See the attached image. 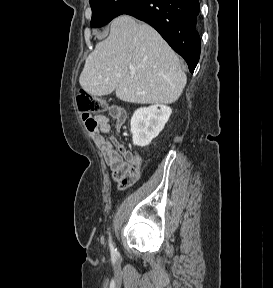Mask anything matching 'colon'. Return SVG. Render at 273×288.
Instances as JSON below:
<instances>
[{"instance_id": "1", "label": "colon", "mask_w": 273, "mask_h": 288, "mask_svg": "<svg viewBox=\"0 0 273 288\" xmlns=\"http://www.w3.org/2000/svg\"><path fill=\"white\" fill-rule=\"evenodd\" d=\"M76 99L79 112L88 131L93 134L97 133L99 130L97 116L105 111V102L100 98L87 95L84 92H79Z\"/></svg>"}]
</instances>
